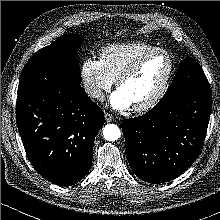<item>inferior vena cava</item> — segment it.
<instances>
[{"instance_id": "obj_1", "label": "inferior vena cava", "mask_w": 220, "mask_h": 220, "mask_svg": "<svg viewBox=\"0 0 220 220\" xmlns=\"http://www.w3.org/2000/svg\"><path fill=\"white\" fill-rule=\"evenodd\" d=\"M85 91L88 94V96H90L92 98H96V99L101 100L104 97L103 92L96 87H92V86L86 87Z\"/></svg>"}]
</instances>
